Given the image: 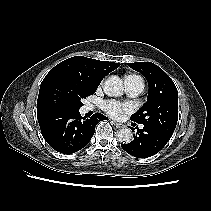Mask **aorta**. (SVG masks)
<instances>
[{"label":"aorta","instance_id":"obj_1","mask_svg":"<svg viewBox=\"0 0 211 211\" xmlns=\"http://www.w3.org/2000/svg\"><path fill=\"white\" fill-rule=\"evenodd\" d=\"M103 89L105 94L110 97H120L123 94L124 86L118 76L112 75L105 81ZM117 137L119 142L128 144L133 139V133L130 129L123 128L118 131Z\"/></svg>","mask_w":211,"mask_h":211}]
</instances>
